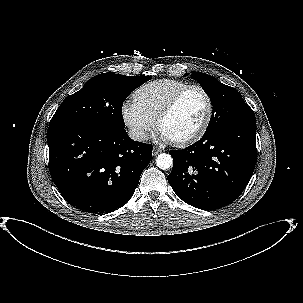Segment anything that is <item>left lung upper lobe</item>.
Returning a JSON list of instances; mask_svg holds the SVG:
<instances>
[{
    "instance_id": "5c2ea615",
    "label": "left lung upper lobe",
    "mask_w": 303,
    "mask_h": 303,
    "mask_svg": "<svg viewBox=\"0 0 303 303\" xmlns=\"http://www.w3.org/2000/svg\"><path fill=\"white\" fill-rule=\"evenodd\" d=\"M191 77L200 83L212 102V116L205 133L227 125L255 120L254 112L235 88L222 84L205 73L192 72Z\"/></svg>"
}]
</instances>
